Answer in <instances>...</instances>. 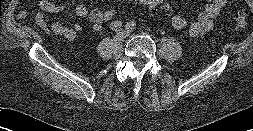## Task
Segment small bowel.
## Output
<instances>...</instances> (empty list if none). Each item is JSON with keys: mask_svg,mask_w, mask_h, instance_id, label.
I'll list each match as a JSON object with an SVG mask.
<instances>
[{"mask_svg": "<svg viewBox=\"0 0 253 131\" xmlns=\"http://www.w3.org/2000/svg\"><path fill=\"white\" fill-rule=\"evenodd\" d=\"M227 0H211L209 4L199 13L197 20L191 24L181 16H173L171 19L172 26L175 29L181 30L188 28V33L192 37H201L206 35L214 28V20L220 14L222 8L226 5ZM39 7L42 12L56 13L66 8L65 4H57L50 0H40ZM76 14L82 18H88L95 31H100L104 23L103 10L95 8L89 10L85 5H78L76 7ZM18 18L25 20L27 12L21 10L18 12ZM40 27L46 32H53L60 35L66 40L72 41L76 38L77 34L81 32L82 26L74 24L72 27H66L58 21H53L50 25L46 23L43 17L38 18Z\"/></svg>", "mask_w": 253, "mask_h": 131, "instance_id": "small-bowel-1", "label": "small bowel"}]
</instances>
